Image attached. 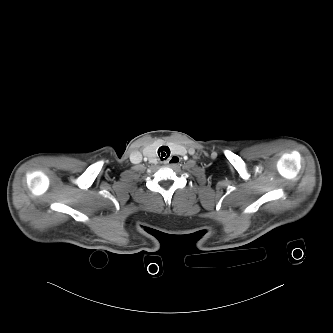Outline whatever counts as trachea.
Segmentation results:
<instances>
[{
	"instance_id": "obj_1",
	"label": "trachea",
	"mask_w": 333,
	"mask_h": 333,
	"mask_svg": "<svg viewBox=\"0 0 333 333\" xmlns=\"http://www.w3.org/2000/svg\"><path fill=\"white\" fill-rule=\"evenodd\" d=\"M158 154L161 160H165L169 157L170 155V149L168 146H161L158 149Z\"/></svg>"
}]
</instances>
